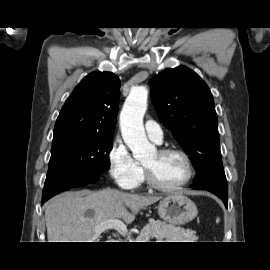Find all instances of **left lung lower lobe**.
I'll list each match as a JSON object with an SVG mask.
<instances>
[{
    "instance_id": "left-lung-lower-lobe-1",
    "label": "left lung lower lobe",
    "mask_w": 270,
    "mask_h": 270,
    "mask_svg": "<svg viewBox=\"0 0 270 270\" xmlns=\"http://www.w3.org/2000/svg\"><path fill=\"white\" fill-rule=\"evenodd\" d=\"M190 187L192 189H203L214 193L223 200L225 207H228V184L224 171H215L204 179L195 182Z\"/></svg>"
}]
</instances>
